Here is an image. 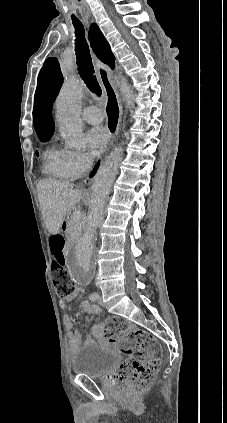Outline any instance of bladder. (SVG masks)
Wrapping results in <instances>:
<instances>
[{"label":"bladder","mask_w":227,"mask_h":423,"mask_svg":"<svg viewBox=\"0 0 227 423\" xmlns=\"http://www.w3.org/2000/svg\"><path fill=\"white\" fill-rule=\"evenodd\" d=\"M120 363L116 353L107 351L97 343L84 344L73 357L72 371L95 380L109 378Z\"/></svg>","instance_id":"1"}]
</instances>
